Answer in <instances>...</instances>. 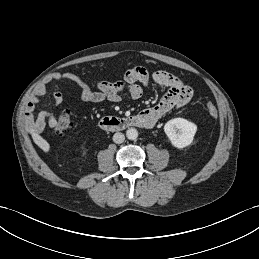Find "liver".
<instances>
[{"instance_id": "obj_1", "label": "liver", "mask_w": 259, "mask_h": 259, "mask_svg": "<svg viewBox=\"0 0 259 259\" xmlns=\"http://www.w3.org/2000/svg\"><path fill=\"white\" fill-rule=\"evenodd\" d=\"M29 131L35 144L44 152H49L50 144L45 139H43L32 126H30Z\"/></svg>"}]
</instances>
